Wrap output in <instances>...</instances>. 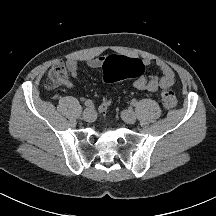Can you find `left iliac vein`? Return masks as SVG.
Returning <instances> with one entry per match:
<instances>
[{"label": "left iliac vein", "mask_w": 216, "mask_h": 216, "mask_svg": "<svg viewBox=\"0 0 216 216\" xmlns=\"http://www.w3.org/2000/svg\"><path fill=\"white\" fill-rule=\"evenodd\" d=\"M122 119L128 124H134L136 122V115L132 110H124L121 113Z\"/></svg>", "instance_id": "4c4485c4"}]
</instances>
